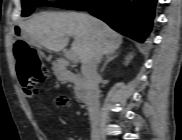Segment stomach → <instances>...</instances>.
Wrapping results in <instances>:
<instances>
[{
    "label": "stomach",
    "instance_id": "0dacf381",
    "mask_svg": "<svg viewBox=\"0 0 182 140\" xmlns=\"http://www.w3.org/2000/svg\"><path fill=\"white\" fill-rule=\"evenodd\" d=\"M12 30H23V25H12ZM13 35L16 36L15 37L16 41H31L35 43L30 39V36H25L26 35L25 31H14Z\"/></svg>",
    "mask_w": 182,
    "mask_h": 140
}]
</instances>
